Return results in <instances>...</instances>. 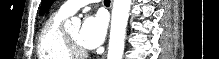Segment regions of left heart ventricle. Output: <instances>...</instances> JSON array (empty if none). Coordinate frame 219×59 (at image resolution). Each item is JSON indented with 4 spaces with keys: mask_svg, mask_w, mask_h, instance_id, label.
<instances>
[{
    "mask_svg": "<svg viewBox=\"0 0 219 59\" xmlns=\"http://www.w3.org/2000/svg\"><path fill=\"white\" fill-rule=\"evenodd\" d=\"M69 36L76 42L78 43L80 46L81 43H80V40H79V33H80V28L79 27H76V28H73L71 30H68L67 31ZM83 47V46H82Z\"/></svg>",
    "mask_w": 219,
    "mask_h": 59,
    "instance_id": "b2bd125f",
    "label": "left heart ventricle"
}]
</instances>
